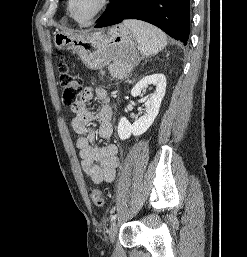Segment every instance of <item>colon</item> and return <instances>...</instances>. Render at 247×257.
I'll return each mask as SVG.
<instances>
[{"instance_id": "1", "label": "colon", "mask_w": 247, "mask_h": 257, "mask_svg": "<svg viewBox=\"0 0 247 257\" xmlns=\"http://www.w3.org/2000/svg\"><path fill=\"white\" fill-rule=\"evenodd\" d=\"M59 84L62 89L65 102H74L82 92V81L74 73L73 66L67 62L59 64ZM90 197L94 205L102 207L105 204V195L102 190L93 188Z\"/></svg>"}]
</instances>
